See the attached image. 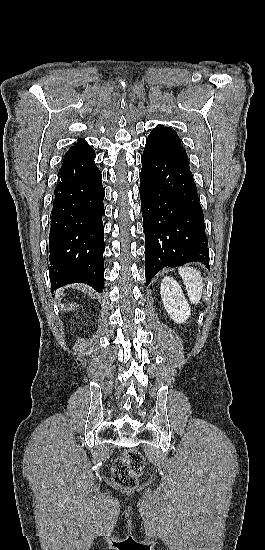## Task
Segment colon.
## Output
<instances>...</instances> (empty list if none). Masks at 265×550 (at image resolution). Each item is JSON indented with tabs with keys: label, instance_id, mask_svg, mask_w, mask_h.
<instances>
[{
	"label": "colon",
	"instance_id": "colon-1",
	"mask_svg": "<svg viewBox=\"0 0 265 550\" xmlns=\"http://www.w3.org/2000/svg\"><path fill=\"white\" fill-rule=\"evenodd\" d=\"M144 466V457L139 451L135 449L125 451L112 465L114 483L122 488L135 487L143 473Z\"/></svg>",
	"mask_w": 265,
	"mask_h": 550
}]
</instances>
